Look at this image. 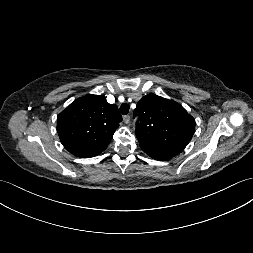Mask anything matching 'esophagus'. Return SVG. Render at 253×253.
<instances>
[{
  "instance_id": "obj_1",
  "label": "esophagus",
  "mask_w": 253,
  "mask_h": 253,
  "mask_svg": "<svg viewBox=\"0 0 253 253\" xmlns=\"http://www.w3.org/2000/svg\"><path fill=\"white\" fill-rule=\"evenodd\" d=\"M131 118L129 115L124 116L123 121L125 124H128L130 122Z\"/></svg>"
}]
</instances>
